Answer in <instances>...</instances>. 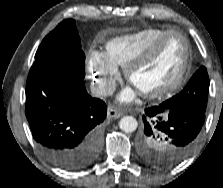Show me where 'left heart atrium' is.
I'll return each instance as SVG.
<instances>
[{"label":"left heart atrium","mask_w":223,"mask_h":188,"mask_svg":"<svg viewBox=\"0 0 223 188\" xmlns=\"http://www.w3.org/2000/svg\"><path fill=\"white\" fill-rule=\"evenodd\" d=\"M134 98L135 92L132 89L128 88L119 95L118 100L122 103H129L133 101Z\"/></svg>","instance_id":"39dd6f15"}]
</instances>
